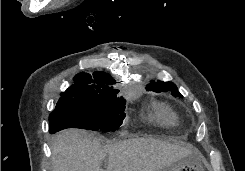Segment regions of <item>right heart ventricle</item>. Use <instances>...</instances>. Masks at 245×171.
Returning a JSON list of instances; mask_svg holds the SVG:
<instances>
[{
  "label": "right heart ventricle",
  "instance_id": "e07e8e85",
  "mask_svg": "<svg viewBox=\"0 0 245 171\" xmlns=\"http://www.w3.org/2000/svg\"><path fill=\"white\" fill-rule=\"evenodd\" d=\"M147 120L163 127H172L178 123V117L172 108L166 103L158 101L149 104Z\"/></svg>",
  "mask_w": 245,
  "mask_h": 171
}]
</instances>
